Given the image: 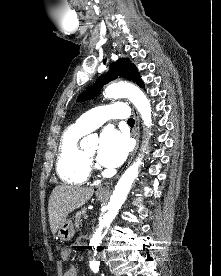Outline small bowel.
Masks as SVG:
<instances>
[{
	"label": "small bowel",
	"instance_id": "1",
	"mask_svg": "<svg viewBox=\"0 0 221 276\" xmlns=\"http://www.w3.org/2000/svg\"><path fill=\"white\" fill-rule=\"evenodd\" d=\"M82 244V239H80L78 242H77V245H81ZM69 254H70V250L69 249H64L62 252H61V256L63 259H67L69 257ZM64 276H78V272H77V269L75 266H69L66 268L65 270V273H64Z\"/></svg>",
	"mask_w": 221,
	"mask_h": 276
}]
</instances>
